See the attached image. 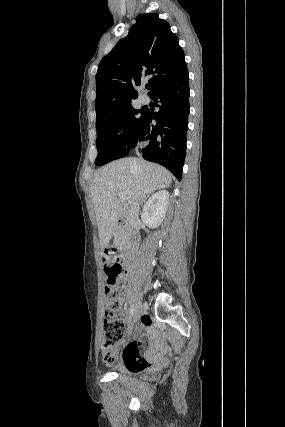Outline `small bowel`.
<instances>
[{"mask_svg": "<svg viewBox=\"0 0 285 427\" xmlns=\"http://www.w3.org/2000/svg\"><path fill=\"white\" fill-rule=\"evenodd\" d=\"M142 325L151 328L152 321L144 319ZM163 351L164 346L161 341L151 346L145 340H132L128 350L123 353L122 362L131 370L153 369L163 361Z\"/></svg>", "mask_w": 285, "mask_h": 427, "instance_id": "small-bowel-1", "label": "small bowel"}]
</instances>
